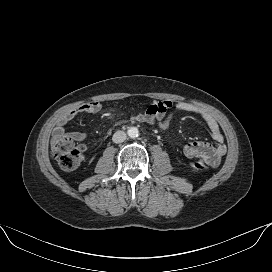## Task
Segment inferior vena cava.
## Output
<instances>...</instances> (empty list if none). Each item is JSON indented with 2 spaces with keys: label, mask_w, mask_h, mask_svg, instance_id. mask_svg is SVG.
Listing matches in <instances>:
<instances>
[{
  "label": "inferior vena cava",
  "mask_w": 272,
  "mask_h": 272,
  "mask_svg": "<svg viewBox=\"0 0 272 272\" xmlns=\"http://www.w3.org/2000/svg\"><path fill=\"white\" fill-rule=\"evenodd\" d=\"M126 133L124 131H117L114 133L112 140L114 143H122L126 140Z\"/></svg>",
  "instance_id": "1"
}]
</instances>
